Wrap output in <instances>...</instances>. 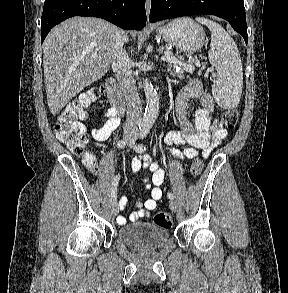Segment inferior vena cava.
<instances>
[{"mask_svg":"<svg viewBox=\"0 0 288 293\" xmlns=\"http://www.w3.org/2000/svg\"><path fill=\"white\" fill-rule=\"evenodd\" d=\"M125 42L124 33L121 32L114 46L112 55V69L116 72L117 80L126 99V122L124 135L136 138L138 125L142 115V105L135 80L132 75L131 64L128 55L123 48Z\"/></svg>","mask_w":288,"mask_h":293,"instance_id":"obj_1","label":"inferior vena cava"}]
</instances>
